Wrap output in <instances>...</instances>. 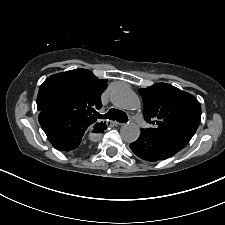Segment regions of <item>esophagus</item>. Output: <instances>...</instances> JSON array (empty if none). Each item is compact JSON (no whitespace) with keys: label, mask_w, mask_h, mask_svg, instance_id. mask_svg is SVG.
<instances>
[{"label":"esophagus","mask_w":225,"mask_h":225,"mask_svg":"<svg viewBox=\"0 0 225 225\" xmlns=\"http://www.w3.org/2000/svg\"><path fill=\"white\" fill-rule=\"evenodd\" d=\"M110 124L113 125V126H119V125H122V123H119V122H117V121H112V122H110Z\"/></svg>","instance_id":"esophagus-1"}]
</instances>
